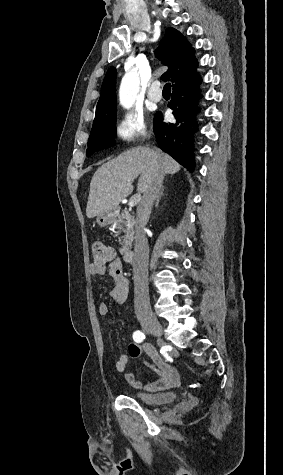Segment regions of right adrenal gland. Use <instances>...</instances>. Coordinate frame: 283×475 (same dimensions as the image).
<instances>
[{
    "instance_id": "obj_1",
    "label": "right adrenal gland",
    "mask_w": 283,
    "mask_h": 475,
    "mask_svg": "<svg viewBox=\"0 0 283 475\" xmlns=\"http://www.w3.org/2000/svg\"><path fill=\"white\" fill-rule=\"evenodd\" d=\"M163 192H164V186H163V188H162V190H161V192H160V194H159V196H158V198H157V200H156V202H155L156 208H157V206H158V204H159V202H160L161 196H163Z\"/></svg>"
}]
</instances>
